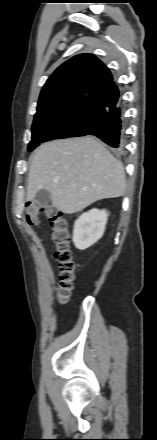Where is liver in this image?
<instances>
[{
    "mask_svg": "<svg viewBox=\"0 0 157 440\" xmlns=\"http://www.w3.org/2000/svg\"><path fill=\"white\" fill-rule=\"evenodd\" d=\"M47 190L54 207L66 214L125 193L122 163L93 137L54 140L42 144L32 158L27 200Z\"/></svg>",
    "mask_w": 157,
    "mask_h": 440,
    "instance_id": "liver-1",
    "label": "liver"
}]
</instances>
